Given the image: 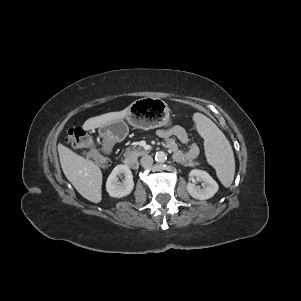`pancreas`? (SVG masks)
Returning a JSON list of instances; mask_svg holds the SVG:
<instances>
[{
  "mask_svg": "<svg viewBox=\"0 0 301 301\" xmlns=\"http://www.w3.org/2000/svg\"><path fill=\"white\" fill-rule=\"evenodd\" d=\"M146 154L140 147L134 146L133 148H127L124 156L127 158L137 159L139 156Z\"/></svg>",
  "mask_w": 301,
  "mask_h": 301,
  "instance_id": "pancreas-1",
  "label": "pancreas"
}]
</instances>
